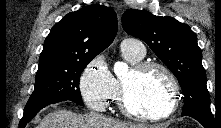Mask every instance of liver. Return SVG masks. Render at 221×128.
Returning a JSON list of instances; mask_svg holds the SVG:
<instances>
[{"label": "liver", "mask_w": 221, "mask_h": 128, "mask_svg": "<svg viewBox=\"0 0 221 128\" xmlns=\"http://www.w3.org/2000/svg\"><path fill=\"white\" fill-rule=\"evenodd\" d=\"M167 126L168 124L122 123L96 112L77 114L63 109L46 115L37 128H167Z\"/></svg>", "instance_id": "1"}]
</instances>
